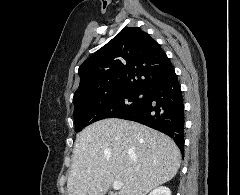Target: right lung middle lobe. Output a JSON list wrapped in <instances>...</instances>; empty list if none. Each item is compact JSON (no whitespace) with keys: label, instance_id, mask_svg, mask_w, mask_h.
I'll use <instances>...</instances> for the list:
<instances>
[{"label":"right lung middle lobe","instance_id":"right-lung-middle-lobe-1","mask_svg":"<svg viewBox=\"0 0 240 195\" xmlns=\"http://www.w3.org/2000/svg\"><path fill=\"white\" fill-rule=\"evenodd\" d=\"M143 95L144 91L129 88L105 96L73 101L75 131L79 132L98 120L116 117L138 106L143 101Z\"/></svg>","mask_w":240,"mask_h":195}]
</instances>
